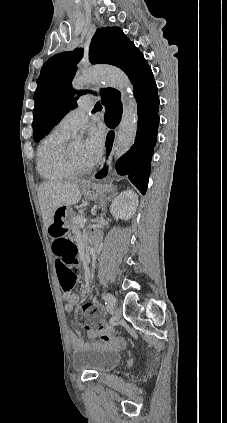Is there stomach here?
I'll return each mask as SVG.
<instances>
[{"label": "stomach", "mask_w": 227, "mask_h": 423, "mask_svg": "<svg viewBox=\"0 0 227 423\" xmlns=\"http://www.w3.org/2000/svg\"><path fill=\"white\" fill-rule=\"evenodd\" d=\"M81 190L86 200H96V198H104L109 192H113L114 188L108 184H91V182H81Z\"/></svg>", "instance_id": "obj_1"}]
</instances>
